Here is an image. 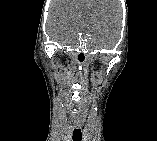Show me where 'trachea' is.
Returning <instances> with one entry per match:
<instances>
[{
	"label": "trachea",
	"mask_w": 157,
	"mask_h": 141,
	"mask_svg": "<svg viewBox=\"0 0 157 141\" xmlns=\"http://www.w3.org/2000/svg\"><path fill=\"white\" fill-rule=\"evenodd\" d=\"M72 139H73V141H81L82 140V132H81L80 128L74 129Z\"/></svg>",
	"instance_id": "obj_1"
}]
</instances>
